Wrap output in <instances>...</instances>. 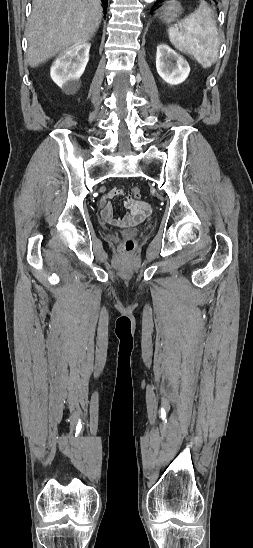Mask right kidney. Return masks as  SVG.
<instances>
[{
  "label": "right kidney",
  "instance_id": "1",
  "mask_svg": "<svg viewBox=\"0 0 253 548\" xmlns=\"http://www.w3.org/2000/svg\"><path fill=\"white\" fill-rule=\"evenodd\" d=\"M91 44H75L61 52L54 61L50 75L52 80L66 92H75L89 60Z\"/></svg>",
  "mask_w": 253,
  "mask_h": 548
}]
</instances>
